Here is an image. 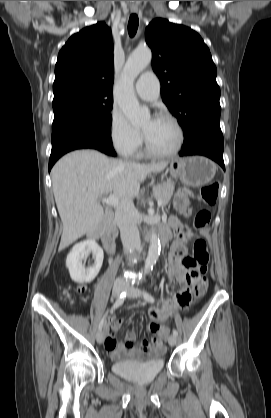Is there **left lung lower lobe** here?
<instances>
[{"label": "left lung lower lobe", "mask_w": 271, "mask_h": 418, "mask_svg": "<svg viewBox=\"0 0 271 418\" xmlns=\"http://www.w3.org/2000/svg\"><path fill=\"white\" fill-rule=\"evenodd\" d=\"M180 156L203 155L225 169L223 161V134L219 124L196 126L185 136Z\"/></svg>", "instance_id": "left-lung-lower-lobe-1"}]
</instances>
